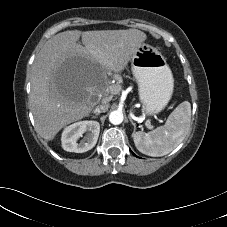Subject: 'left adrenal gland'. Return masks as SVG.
I'll list each match as a JSON object with an SVG mask.
<instances>
[{"label":"left adrenal gland","instance_id":"left-adrenal-gland-1","mask_svg":"<svg viewBox=\"0 0 227 227\" xmlns=\"http://www.w3.org/2000/svg\"><path fill=\"white\" fill-rule=\"evenodd\" d=\"M129 120L131 122V124L134 126V130L136 129V124L133 122V120L129 117Z\"/></svg>","mask_w":227,"mask_h":227}]
</instances>
